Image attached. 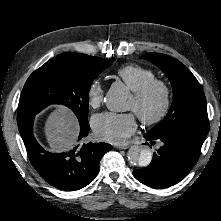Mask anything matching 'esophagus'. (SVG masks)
I'll return each mask as SVG.
<instances>
[{
  "instance_id": "1",
  "label": "esophagus",
  "mask_w": 221,
  "mask_h": 221,
  "mask_svg": "<svg viewBox=\"0 0 221 221\" xmlns=\"http://www.w3.org/2000/svg\"><path fill=\"white\" fill-rule=\"evenodd\" d=\"M129 147H130L129 144H126V145H116V146H115L116 149H127V148H129Z\"/></svg>"
}]
</instances>
